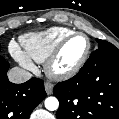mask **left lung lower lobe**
<instances>
[{"label": "left lung lower lobe", "instance_id": "left-lung-lower-lobe-1", "mask_svg": "<svg viewBox=\"0 0 119 119\" xmlns=\"http://www.w3.org/2000/svg\"><path fill=\"white\" fill-rule=\"evenodd\" d=\"M57 119H119V49L106 43L71 79L59 82Z\"/></svg>", "mask_w": 119, "mask_h": 119}]
</instances>
